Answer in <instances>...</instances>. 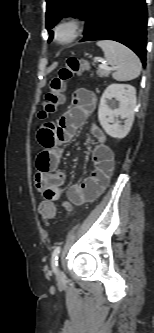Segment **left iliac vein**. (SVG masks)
<instances>
[{
  "instance_id": "obj_1",
  "label": "left iliac vein",
  "mask_w": 154,
  "mask_h": 333,
  "mask_svg": "<svg viewBox=\"0 0 154 333\" xmlns=\"http://www.w3.org/2000/svg\"><path fill=\"white\" fill-rule=\"evenodd\" d=\"M62 278V273L60 271L57 272V279L60 280Z\"/></svg>"
}]
</instances>
